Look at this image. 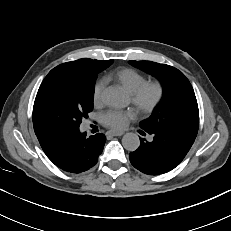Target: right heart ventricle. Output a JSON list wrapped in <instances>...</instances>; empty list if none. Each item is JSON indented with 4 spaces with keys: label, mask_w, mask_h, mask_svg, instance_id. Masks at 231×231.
<instances>
[{
    "label": "right heart ventricle",
    "mask_w": 231,
    "mask_h": 231,
    "mask_svg": "<svg viewBox=\"0 0 231 231\" xmlns=\"http://www.w3.org/2000/svg\"><path fill=\"white\" fill-rule=\"evenodd\" d=\"M114 78L130 94L146 82V77L132 68L119 70Z\"/></svg>",
    "instance_id": "obj_1"
}]
</instances>
